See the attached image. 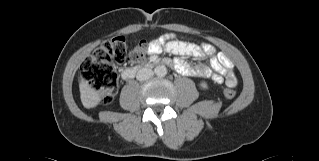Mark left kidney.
<instances>
[{"mask_svg":"<svg viewBox=\"0 0 319 161\" xmlns=\"http://www.w3.org/2000/svg\"><path fill=\"white\" fill-rule=\"evenodd\" d=\"M201 87L204 88V89H207V87H208V86H207V83H206V82H202V83H201Z\"/></svg>","mask_w":319,"mask_h":161,"instance_id":"5707ae66","label":"left kidney"}]
</instances>
